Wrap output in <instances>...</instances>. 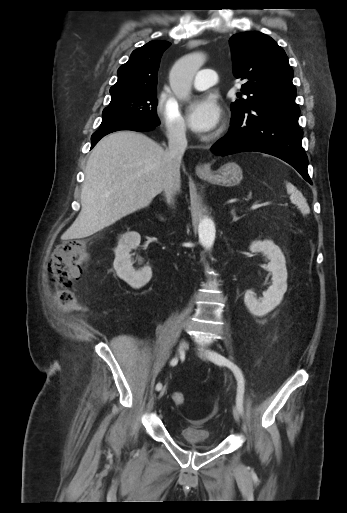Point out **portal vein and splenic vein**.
Instances as JSON below:
<instances>
[{
  "label": "portal vein and splenic vein",
  "instance_id": "18ae733b",
  "mask_svg": "<svg viewBox=\"0 0 347 513\" xmlns=\"http://www.w3.org/2000/svg\"><path fill=\"white\" fill-rule=\"evenodd\" d=\"M269 204H271V203H270V202H266V203H263V204H255V205H253V206L250 208V210H253V211H254V210H257L258 208H260L262 205H269Z\"/></svg>",
  "mask_w": 347,
  "mask_h": 513
}]
</instances>
